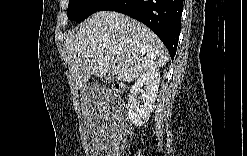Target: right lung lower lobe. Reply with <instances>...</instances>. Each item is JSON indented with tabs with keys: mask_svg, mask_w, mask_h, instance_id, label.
Segmentation results:
<instances>
[{
	"mask_svg": "<svg viewBox=\"0 0 247 156\" xmlns=\"http://www.w3.org/2000/svg\"><path fill=\"white\" fill-rule=\"evenodd\" d=\"M182 9V0H108L99 11H116L141 21L157 34L173 59L180 33Z\"/></svg>",
	"mask_w": 247,
	"mask_h": 156,
	"instance_id": "1",
	"label": "right lung lower lobe"
}]
</instances>
